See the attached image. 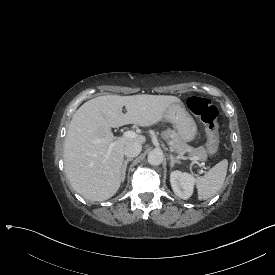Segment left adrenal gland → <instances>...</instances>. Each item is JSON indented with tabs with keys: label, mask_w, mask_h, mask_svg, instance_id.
<instances>
[{
	"label": "left adrenal gland",
	"mask_w": 275,
	"mask_h": 275,
	"mask_svg": "<svg viewBox=\"0 0 275 275\" xmlns=\"http://www.w3.org/2000/svg\"><path fill=\"white\" fill-rule=\"evenodd\" d=\"M168 158L170 159V165H171V166H173L174 162L181 163V161L178 160V159L176 158V156H174V155H172V154H170V155L168 156Z\"/></svg>",
	"instance_id": "a2214340"
}]
</instances>
